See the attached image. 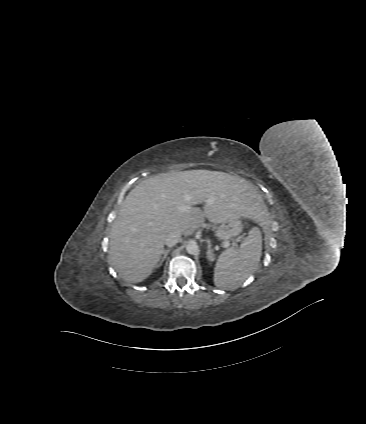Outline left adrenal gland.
<instances>
[{"mask_svg":"<svg viewBox=\"0 0 366 424\" xmlns=\"http://www.w3.org/2000/svg\"><path fill=\"white\" fill-rule=\"evenodd\" d=\"M208 243V247H207V252H206V257L208 261H213L214 259V254H213V250L211 248V242L210 240H207Z\"/></svg>","mask_w":366,"mask_h":424,"instance_id":"left-adrenal-gland-1","label":"left adrenal gland"}]
</instances>
